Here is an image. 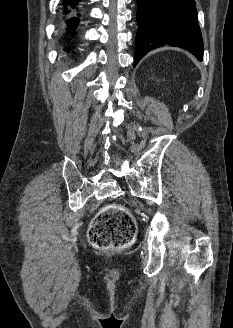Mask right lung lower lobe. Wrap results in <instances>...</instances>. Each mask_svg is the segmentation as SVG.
Returning <instances> with one entry per match:
<instances>
[{
    "mask_svg": "<svg viewBox=\"0 0 233 328\" xmlns=\"http://www.w3.org/2000/svg\"><path fill=\"white\" fill-rule=\"evenodd\" d=\"M80 0H65V5H70L71 8H74L75 4L79 2ZM66 13H69V11L66 9ZM79 22L78 17H72L66 21L67 23V30L70 32H73L74 29L77 27V24Z\"/></svg>",
    "mask_w": 233,
    "mask_h": 328,
    "instance_id": "right-lung-lower-lobe-1",
    "label": "right lung lower lobe"
}]
</instances>
